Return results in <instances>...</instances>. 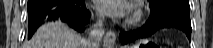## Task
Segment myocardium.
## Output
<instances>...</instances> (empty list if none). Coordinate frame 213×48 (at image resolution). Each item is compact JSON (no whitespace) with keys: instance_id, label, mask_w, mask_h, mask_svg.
I'll use <instances>...</instances> for the list:
<instances>
[{"instance_id":"myocardium-1","label":"myocardium","mask_w":213,"mask_h":48,"mask_svg":"<svg viewBox=\"0 0 213 48\" xmlns=\"http://www.w3.org/2000/svg\"><path fill=\"white\" fill-rule=\"evenodd\" d=\"M143 12L141 8L137 5L132 6L131 13L127 19V24L129 25H135L139 23L142 19Z\"/></svg>"}]
</instances>
